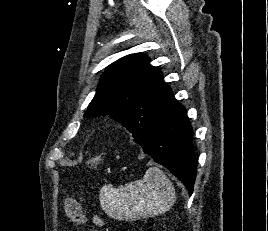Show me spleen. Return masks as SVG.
<instances>
[{
    "mask_svg": "<svg viewBox=\"0 0 268 231\" xmlns=\"http://www.w3.org/2000/svg\"><path fill=\"white\" fill-rule=\"evenodd\" d=\"M99 200L109 217L133 221L169 211L176 195L164 172L158 167H150L143 180L130 182L118 189L111 184L104 185L99 192Z\"/></svg>",
    "mask_w": 268,
    "mask_h": 231,
    "instance_id": "3e777b00",
    "label": "spleen"
}]
</instances>
